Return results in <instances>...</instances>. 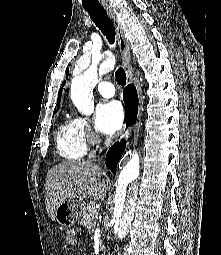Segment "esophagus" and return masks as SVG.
Returning a JSON list of instances; mask_svg holds the SVG:
<instances>
[{
	"mask_svg": "<svg viewBox=\"0 0 221 255\" xmlns=\"http://www.w3.org/2000/svg\"><path fill=\"white\" fill-rule=\"evenodd\" d=\"M106 12H107L109 18L112 20V22L114 24V27L116 29L118 45H119L121 54H122L123 59H124L127 79H128L129 82H132L133 74H132V67H131L130 48H129L128 43L125 40L123 27H122L121 23L119 22V20L116 16V13L113 9L106 8ZM124 132H125V127H123L121 132H120V138H122Z\"/></svg>",
	"mask_w": 221,
	"mask_h": 255,
	"instance_id": "esophagus-1",
	"label": "esophagus"
}]
</instances>
